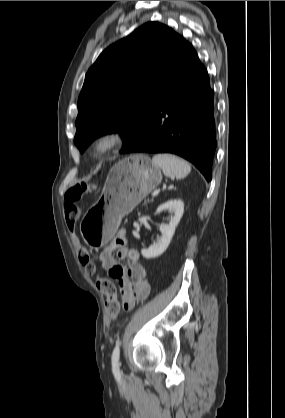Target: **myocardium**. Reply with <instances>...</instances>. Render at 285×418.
<instances>
[{"instance_id": "1", "label": "myocardium", "mask_w": 285, "mask_h": 418, "mask_svg": "<svg viewBox=\"0 0 285 418\" xmlns=\"http://www.w3.org/2000/svg\"><path fill=\"white\" fill-rule=\"evenodd\" d=\"M122 142V136L116 131H105L96 135L91 142V153L101 160L115 152Z\"/></svg>"}]
</instances>
